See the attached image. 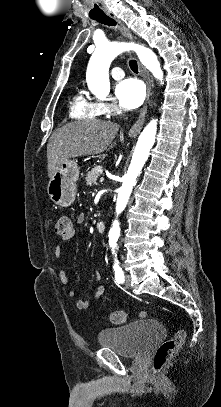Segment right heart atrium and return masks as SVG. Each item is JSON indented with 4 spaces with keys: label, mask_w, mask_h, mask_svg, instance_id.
I'll use <instances>...</instances> for the list:
<instances>
[{
    "label": "right heart atrium",
    "mask_w": 221,
    "mask_h": 407,
    "mask_svg": "<svg viewBox=\"0 0 221 407\" xmlns=\"http://www.w3.org/2000/svg\"><path fill=\"white\" fill-rule=\"evenodd\" d=\"M99 110L106 115H116L120 112V108L114 103L97 102Z\"/></svg>",
    "instance_id": "obj_1"
}]
</instances>
